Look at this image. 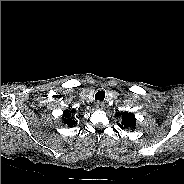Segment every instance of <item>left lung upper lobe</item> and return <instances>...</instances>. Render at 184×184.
<instances>
[{"label": "left lung upper lobe", "mask_w": 184, "mask_h": 184, "mask_svg": "<svg viewBox=\"0 0 184 184\" xmlns=\"http://www.w3.org/2000/svg\"><path fill=\"white\" fill-rule=\"evenodd\" d=\"M122 116V123L121 124H118L119 127H121L122 129H125V128H135V125H136V119H135V116L134 114L132 113H116V116Z\"/></svg>", "instance_id": "obj_1"}]
</instances>
